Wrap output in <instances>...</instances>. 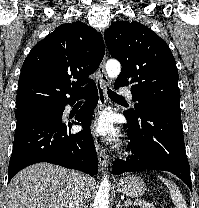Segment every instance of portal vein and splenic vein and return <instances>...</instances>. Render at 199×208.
<instances>
[{"label": "portal vein and splenic vein", "mask_w": 199, "mask_h": 208, "mask_svg": "<svg viewBox=\"0 0 199 208\" xmlns=\"http://www.w3.org/2000/svg\"><path fill=\"white\" fill-rule=\"evenodd\" d=\"M131 205V202H126L125 203V206H130Z\"/></svg>", "instance_id": "18ae733b"}]
</instances>
